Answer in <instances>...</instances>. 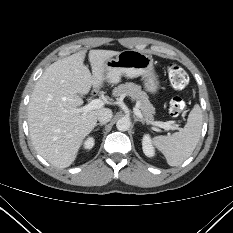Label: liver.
I'll return each mask as SVG.
<instances>
[{
    "label": "liver",
    "instance_id": "liver-1",
    "mask_svg": "<svg viewBox=\"0 0 233 233\" xmlns=\"http://www.w3.org/2000/svg\"><path fill=\"white\" fill-rule=\"evenodd\" d=\"M120 52L90 50L92 73L84 65L85 52L51 64L36 82L28 105V125L37 153L57 168L69 167L76 159L85 137L97 124L101 109L77 112L83 104L79 96L91 87H102L105 63Z\"/></svg>",
    "mask_w": 233,
    "mask_h": 233
}]
</instances>
